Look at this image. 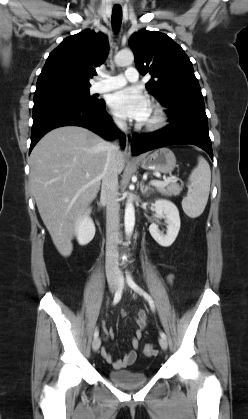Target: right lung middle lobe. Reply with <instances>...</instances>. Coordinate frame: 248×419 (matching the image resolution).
Wrapping results in <instances>:
<instances>
[{
	"label": "right lung middle lobe",
	"instance_id": "right-lung-middle-lobe-1",
	"mask_svg": "<svg viewBox=\"0 0 248 419\" xmlns=\"http://www.w3.org/2000/svg\"><path fill=\"white\" fill-rule=\"evenodd\" d=\"M53 98L77 100L91 105H99L102 102V100H98L90 96L89 89H61L49 92L35 93L34 102Z\"/></svg>",
	"mask_w": 248,
	"mask_h": 419
}]
</instances>
